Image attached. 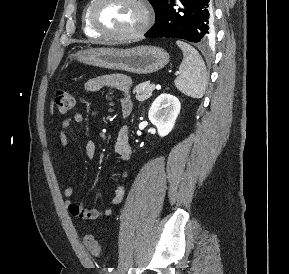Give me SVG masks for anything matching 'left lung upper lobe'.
I'll return each mask as SVG.
<instances>
[{"label": "left lung upper lobe", "mask_w": 289, "mask_h": 274, "mask_svg": "<svg viewBox=\"0 0 289 274\" xmlns=\"http://www.w3.org/2000/svg\"><path fill=\"white\" fill-rule=\"evenodd\" d=\"M154 8L155 11V20L159 16V13L163 6L167 3L168 0H148Z\"/></svg>", "instance_id": "1"}]
</instances>
